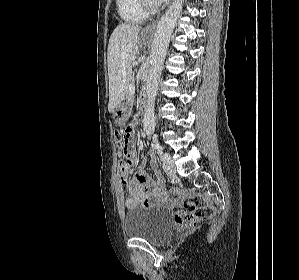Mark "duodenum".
Wrapping results in <instances>:
<instances>
[{"instance_id": "obj_1", "label": "duodenum", "mask_w": 299, "mask_h": 280, "mask_svg": "<svg viewBox=\"0 0 299 280\" xmlns=\"http://www.w3.org/2000/svg\"><path fill=\"white\" fill-rule=\"evenodd\" d=\"M139 103H140L141 109L144 111L146 109V100L143 96L140 97Z\"/></svg>"}]
</instances>
